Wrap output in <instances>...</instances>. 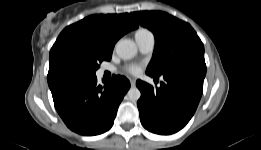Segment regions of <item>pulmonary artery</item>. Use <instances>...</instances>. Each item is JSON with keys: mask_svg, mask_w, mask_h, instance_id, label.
<instances>
[{"mask_svg": "<svg viewBox=\"0 0 261 150\" xmlns=\"http://www.w3.org/2000/svg\"><path fill=\"white\" fill-rule=\"evenodd\" d=\"M135 40L139 50L142 53L148 54L152 52L155 44V37L152 32L146 30L144 32L136 34Z\"/></svg>", "mask_w": 261, "mask_h": 150, "instance_id": "1", "label": "pulmonary artery"}]
</instances>
